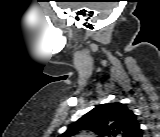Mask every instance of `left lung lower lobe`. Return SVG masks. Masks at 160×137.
Here are the masks:
<instances>
[{
    "instance_id": "obj_1",
    "label": "left lung lower lobe",
    "mask_w": 160,
    "mask_h": 137,
    "mask_svg": "<svg viewBox=\"0 0 160 137\" xmlns=\"http://www.w3.org/2000/svg\"><path fill=\"white\" fill-rule=\"evenodd\" d=\"M142 131L140 127L137 128V130L133 133L132 137H141Z\"/></svg>"
}]
</instances>
